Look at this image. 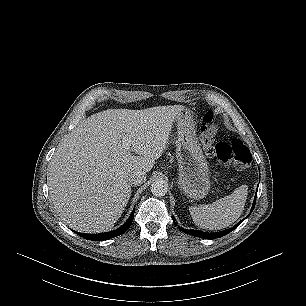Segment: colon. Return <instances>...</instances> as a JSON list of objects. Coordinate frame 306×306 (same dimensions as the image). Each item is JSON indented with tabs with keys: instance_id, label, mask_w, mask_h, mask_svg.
Masks as SVG:
<instances>
[{
	"instance_id": "5ec220e1",
	"label": "colon",
	"mask_w": 306,
	"mask_h": 306,
	"mask_svg": "<svg viewBox=\"0 0 306 306\" xmlns=\"http://www.w3.org/2000/svg\"><path fill=\"white\" fill-rule=\"evenodd\" d=\"M219 127V120L216 114L209 110L203 117L200 138L204 150L209 157L215 158L222 165L234 163L238 168L247 167L252 156L249 148L238 138L230 143H217L216 134Z\"/></svg>"
}]
</instances>
